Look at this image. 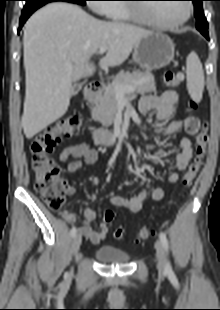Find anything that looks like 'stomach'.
<instances>
[{
	"label": "stomach",
	"instance_id": "1",
	"mask_svg": "<svg viewBox=\"0 0 220 310\" xmlns=\"http://www.w3.org/2000/svg\"><path fill=\"white\" fill-rule=\"evenodd\" d=\"M175 45L163 33H151L142 37L134 46L133 59L146 70L167 66L174 58Z\"/></svg>",
	"mask_w": 220,
	"mask_h": 310
}]
</instances>
